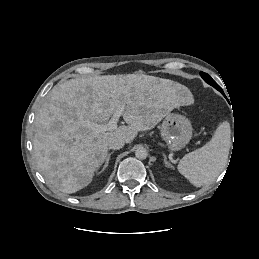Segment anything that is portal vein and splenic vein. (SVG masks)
Masks as SVG:
<instances>
[{
	"label": "portal vein and splenic vein",
	"mask_w": 259,
	"mask_h": 259,
	"mask_svg": "<svg viewBox=\"0 0 259 259\" xmlns=\"http://www.w3.org/2000/svg\"><path fill=\"white\" fill-rule=\"evenodd\" d=\"M123 112H124V107L119 106L107 124H95L92 126L93 130L96 133L115 130L117 128V123L119 122V118L121 117Z\"/></svg>",
	"instance_id": "1"
}]
</instances>
